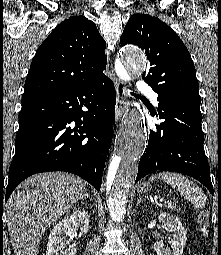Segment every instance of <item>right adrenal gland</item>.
Here are the masks:
<instances>
[{"mask_svg":"<svg viewBox=\"0 0 221 255\" xmlns=\"http://www.w3.org/2000/svg\"><path fill=\"white\" fill-rule=\"evenodd\" d=\"M86 198H90L89 193L87 192V190H85V193L83 194V196L80 198L81 202L82 200L86 199Z\"/></svg>","mask_w":221,"mask_h":255,"instance_id":"obj_1","label":"right adrenal gland"}]
</instances>
